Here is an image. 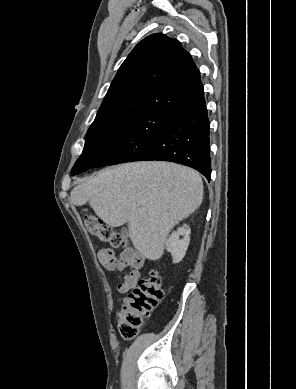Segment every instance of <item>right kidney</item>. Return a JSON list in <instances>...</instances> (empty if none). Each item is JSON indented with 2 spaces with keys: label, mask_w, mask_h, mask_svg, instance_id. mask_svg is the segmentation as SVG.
<instances>
[{
  "label": "right kidney",
  "mask_w": 296,
  "mask_h": 389,
  "mask_svg": "<svg viewBox=\"0 0 296 389\" xmlns=\"http://www.w3.org/2000/svg\"><path fill=\"white\" fill-rule=\"evenodd\" d=\"M190 233L189 226L184 224L183 227L174 231L166 240V249L171 253L173 263H179L184 258L190 243ZM180 236H183V238L180 239Z\"/></svg>",
  "instance_id": "obj_1"
}]
</instances>
